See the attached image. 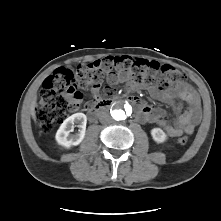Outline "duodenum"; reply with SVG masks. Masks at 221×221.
<instances>
[{"label":"duodenum","mask_w":221,"mask_h":221,"mask_svg":"<svg viewBox=\"0 0 221 221\" xmlns=\"http://www.w3.org/2000/svg\"><path fill=\"white\" fill-rule=\"evenodd\" d=\"M129 100L136 105L138 104V100H136L135 98H129ZM113 103L114 101L108 98L96 101L89 107L87 113L89 119L95 120L101 112H104L105 110L110 108Z\"/></svg>","instance_id":"1"}]
</instances>
